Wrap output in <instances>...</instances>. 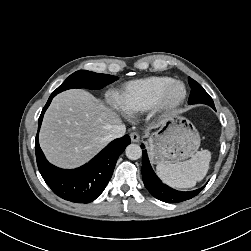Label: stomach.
<instances>
[{
	"mask_svg": "<svg viewBox=\"0 0 251 251\" xmlns=\"http://www.w3.org/2000/svg\"><path fill=\"white\" fill-rule=\"evenodd\" d=\"M148 144L154 163H177L194 155L200 146V136L186 118L176 116L149 134Z\"/></svg>",
	"mask_w": 251,
	"mask_h": 251,
	"instance_id": "1",
	"label": "stomach"
}]
</instances>
